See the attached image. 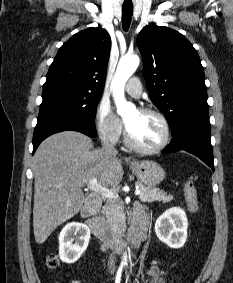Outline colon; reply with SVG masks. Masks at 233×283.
I'll use <instances>...</instances> for the list:
<instances>
[{
  "label": "colon",
  "mask_w": 233,
  "mask_h": 283,
  "mask_svg": "<svg viewBox=\"0 0 233 283\" xmlns=\"http://www.w3.org/2000/svg\"><path fill=\"white\" fill-rule=\"evenodd\" d=\"M184 196L186 199L187 206L192 213H196L199 210V201L197 196V190L193 181L188 180L183 186ZM48 265L50 267H56L59 264L58 257L55 254L48 256Z\"/></svg>",
  "instance_id": "5ec220e1"
}]
</instances>
